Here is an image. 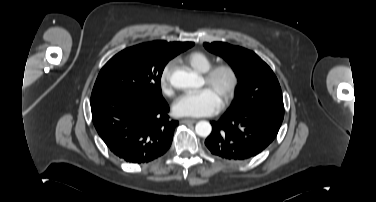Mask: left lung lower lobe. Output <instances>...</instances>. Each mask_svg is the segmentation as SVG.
Masks as SVG:
<instances>
[{
	"label": "left lung lower lobe",
	"instance_id": "obj_1",
	"mask_svg": "<svg viewBox=\"0 0 376 202\" xmlns=\"http://www.w3.org/2000/svg\"><path fill=\"white\" fill-rule=\"evenodd\" d=\"M283 116L251 108L241 114L227 111L211 122L212 132L205 144L212 154L229 161L256 156L276 138Z\"/></svg>",
	"mask_w": 376,
	"mask_h": 202
}]
</instances>
